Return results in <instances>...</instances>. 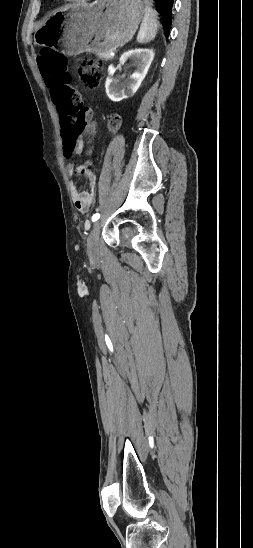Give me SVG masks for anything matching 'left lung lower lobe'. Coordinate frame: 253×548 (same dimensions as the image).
Here are the masks:
<instances>
[{"mask_svg":"<svg viewBox=\"0 0 253 548\" xmlns=\"http://www.w3.org/2000/svg\"><path fill=\"white\" fill-rule=\"evenodd\" d=\"M159 5V12L162 15V24L166 33L169 32L172 22V7L174 0H154Z\"/></svg>","mask_w":253,"mask_h":548,"instance_id":"left-lung-lower-lobe-1","label":"left lung lower lobe"}]
</instances>
